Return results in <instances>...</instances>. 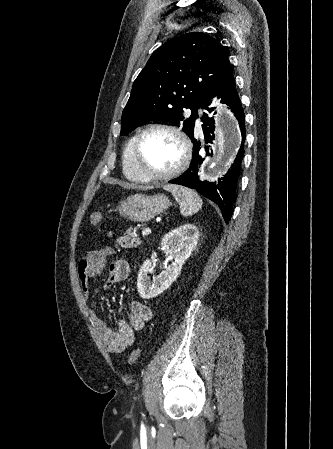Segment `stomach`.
<instances>
[{
    "instance_id": "0dacf381",
    "label": "stomach",
    "mask_w": 333,
    "mask_h": 449,
    "mask_svg": "<svg viewBox=\"0 0 333 449\" xmlns=\"http://www.w3.org/2000/svg\"><path fill=\"white\" fill-rule=\"evenodd\" d=\"M169 206V198L163 194L153 196L135 194L121 202L117 210L127 220L147 222L164 212Z\"/></svg>"
}]
</instances>
